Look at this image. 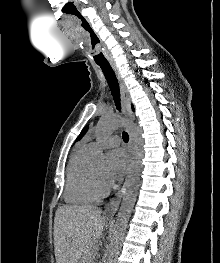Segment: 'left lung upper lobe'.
I'll return each instance as SVG.
<instances>
[{
	"label": "left lung upper lobe",
	"mask_w": 220,
	"mask_h": 263,
	"mask_svg": "<svg viewBox=\"0 0 220 263\" xmlns=\"http://www.w3.org/2000/svg\"><path fill=\"white\" fill-rule=\"evenodd\" d=\"M87 126L82 130V132L80 133V135L78 136L77 140L81 139L82 136L85 134V132L87 131Z\"/></svg>",
	"instance_id": "left-lung-upper-lobe-1"
}]
</instances>
